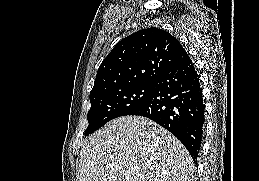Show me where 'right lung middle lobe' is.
<instances>
[{
  "label": "right lung middle lobe",
  "instance_id": "dd1d6c3e",
  "mask_svg": "<svg viewBox=\"0 0 259 181\" xmlns=\"http://www.w3.org/2000/svg\"><path fill=\"white\" fill-rule=\"evenodd\" d=\"M153 89V83L135 84L90 95L91 108L87 115L89 125L85 135L93 133L114 118L130 115L148 100Z\"/></svg>",
  "mask_w": 259,
  "mask_h": 181
}]
</instances>
